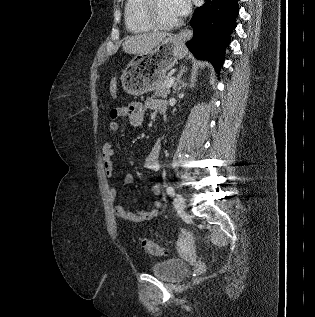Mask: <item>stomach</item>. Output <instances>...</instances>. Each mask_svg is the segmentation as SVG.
<instances>
[{"label": "stomach", "instance_id": "obj_1", "mask_svg": "<svg viewBox=\"0 0 315 317\" xmlns=\"http://www.w3.org/2000/svg\"><path fill=\"white\" fill-rule=\"evenodd\" d=\"M183 55L184 45L177 36L163 39L150 53L137 54L122 73L124 91L139 96L154 90Z\"/></svg>", "mask_w": 315, "mask_h": 317}]
</instances>
